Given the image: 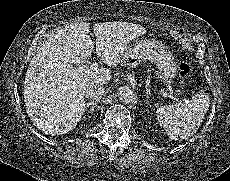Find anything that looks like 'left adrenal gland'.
Segmentation results:
<instances>
[{
	"label": "left adrenal gland",
	"mask_w": 230,
	"mask_h": 181,
	"mask_svg": "<svg viewBox=\"0 0 230 181\" xmlns=\"http://www.w3.org/2000/svg\"><path fill=\"white\" fill-rule=\"evenodd\" d=\"M149 98H150V97H149V95H148V93H147V95H146V100H145V103H146L147 105H149V101H148Z\"/></svg>",
	"instance_id": "obj_1"
}]
</instances>
